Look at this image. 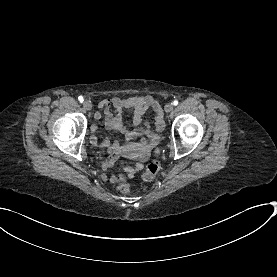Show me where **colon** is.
<instances>
[{"mask_svg":"<svg viewBox=\"0 0 277 277\" xmlns=\"http://www.w3.org/2000/svg\"><path fill=\"white\" fill-rule=\"evenodd\" d=\"M159 171H160V162L159 160H155L147 166L146 171L142 174V178L145 181H151L157 176ZM117 189L121 193H127L130 190V186L126 183H121L118 185Z\"/></svg>","mask_w":277,"mask_h":277,"instance_id":"5ec220e1","label":"colon"}]
</instances>
